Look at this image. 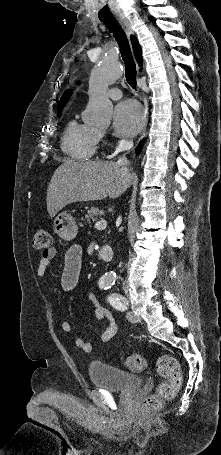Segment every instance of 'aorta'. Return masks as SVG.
I'll use <instances>...</instances> for the list:
<instances>
[{"mask_svg":"<svg viewBox=\"0 0 221 455\" xmlns=\"http://www.w3.org/2000/svg\"><path fill=\"white\" fill-rule=\"evenodd\" d=\"M121 65L105 58L91 72L89 80V103L86 109L85 121L95 126H108L113 112V106L106 96L108 86L122 76ZM103 279L112 283L116 279L114 271L107 272Z\"/></svg>","mask_w":221,"mask_h":455,"instance_id":"obj_1","label":"aorta"}]
</instances>
